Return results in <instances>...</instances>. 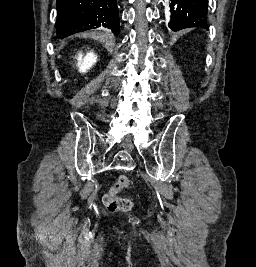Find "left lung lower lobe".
I'll return each instance as SVG.
<instances>
[{"label":"left lung lower lobe","instance_id":"obj_1","mask_svg":"<svg viewBox=\"0 0 256 267\" xmlns=\"http://www.w3.org/2000/svg\"><path fill=\"white\" fill-rule=\"evenodd\" d=\"M171 9V22L169 27L174 30H180L187 27H198L200 26L197 22L193 21L194 18L191 16V9L198 6L199 4H206L208 6V0H170ZM191 22H194L192 24Z\"/></svg>","mask_w":256,"mask_h":267}]
</instances>
